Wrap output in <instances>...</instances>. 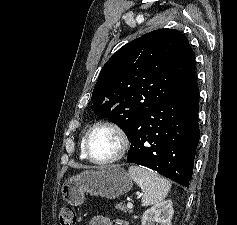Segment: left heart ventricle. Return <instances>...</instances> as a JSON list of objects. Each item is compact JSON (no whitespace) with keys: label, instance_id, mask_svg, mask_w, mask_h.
I'll list each match as a JSON object with an SVG mask.
<instances>
[{"label":"left heart ventricle","instance_id":"obj_1","mask_svg":"<svg viewBox=\"0 0 237 225\" xmlns=\"http://www.w3.org/2000/svg\"><path fill=\"white\" fill-rule=\"evenodd\" d=\"M118 148L116 135L107 129L96 130L90 138L89 149L93 157L106 159L111 157Z\"/></svg>","mask_w":237,"mask_h":225}]
</instances>
